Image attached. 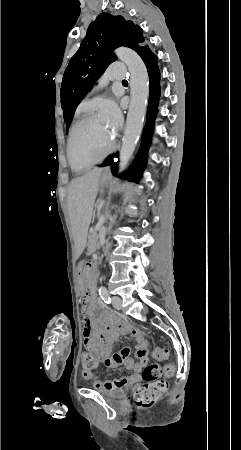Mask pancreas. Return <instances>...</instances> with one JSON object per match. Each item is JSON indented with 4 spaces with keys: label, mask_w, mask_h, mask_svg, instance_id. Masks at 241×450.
Returning <instances> with one entry per match:
<instances>
[{
    "label": "pancreas",
    "mask_w": 241,
    "mask_h": 450,
    "mask_svg": "<svg viewBox=\"0 0 241 450\" xmlns=\"http://www.w3.org/2000/svg\"><path fill=\"white\" fill-rule=\"evenodd\" d=\"M96 226L95 227H93L92 228V231L93 232H90L89 233V236H90V238H89V244H88V246H89V249L90 250H95V246H96V243H97V241H98V238H97V232L98 231H96ZM91 244V245H90Z\"/></svg>",
    "instance_id": "obj_1"
}]
</instances>
